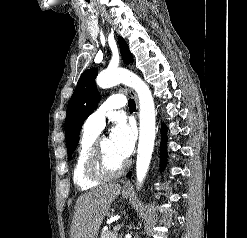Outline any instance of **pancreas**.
<instances>
[{
	"mask_svg": "<svg viewBox=\"0 0 247 238\" xmlns=\"http://www.w3.org/2000/svg\"><path fill=\"white\" fill-rule=\"evenodd\" d=\"M101 238H117V236L111 231H102Z\"/></svg>",
	"mask_w": 247,
	"mask_h": 238,
	"instance_id": "1",
	"label": "pancreas"
}]
</instances>
